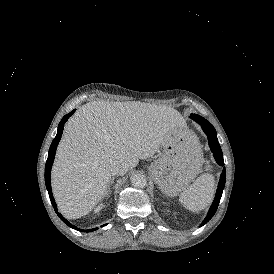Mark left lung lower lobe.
<instances>
[{
	"label": "left lung lower lobe",
	"instance_id": "0a47b994",
	"mask_svg": "<svg viewBox=\"0 0 274 274\" xmlns=\"http://www.w3.org/2000/svg\"><path fill=\"white\" fill-rule=\"evenodd\" d=\"M190 118L201 125L202 129L204 130L205 134L208 137L209 146L211 148V151L213 152L216 162L219 165L224 166L222 150L218 143L217 133H216V130L213 127V125L209 121L204 119L203 117L196 115V114L191 115ZM225 174H226V172H225V168H224L222 171V174L220 176V181L218 184V189L216 192L215 199H214L212 206L207 214V217L204 219L201 226L206 224L212 218V216L215 214V212L217 210L218 204L220 202V198L222 196L223 188L225 186Z\"/></svg>",
	"mask_w": 274,
	"mask_h": 274
}]
</instances>
